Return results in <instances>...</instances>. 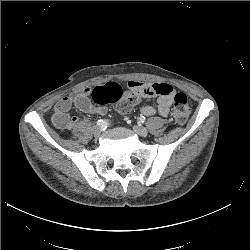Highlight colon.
I'll return each mask as SVG.
<instances>
[{"label":"colon","instance_id":"5ec220e1","mask_svg":"<svg viewBox=\"0 0 250 250\" xmlns=\"http://www.w3.org/2000/svg\"><path fill=\"white\" fill-rule=\"evenodd\" d=\"M93 101L98 105L116 104L120 113L129 112L135 106L141 96L133 91H123L122 88L114 82L97 86L91 93ZM191 114V106L184 93H177L174 97L172 109V118L178 124L185 123Z\"/></svg>","mask_w":250,"mask_h":250}]
</instances>
